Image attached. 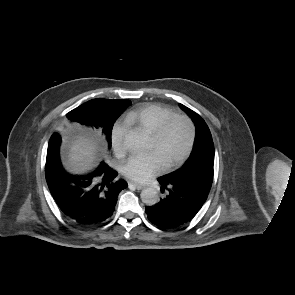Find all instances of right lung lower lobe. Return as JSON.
<instances>
[{
    "label": "right lung lower lobe",
    "instance_id": "right-lung-lower-lobe-1",
    "mask_svg": "<svg viewBox=\"0 0 295 295\" xmlns=\"http://www.w3.org/2000/svg\"><path fill=\"white\" fill-rule=\"evenodd\" d=\"M60 142L58 134L51 136L47 159L54 155L59 158ZM116 176L117 172L103 162L84 176L65 172L63 175L53 174L46 180L54 200L66 217L78 226L90 227L112 216L119 193L128 186L125 180L116 179Z\"/></svg>",
    "mask_w": 295,
    "mask_h": 295
}]
</instances>
